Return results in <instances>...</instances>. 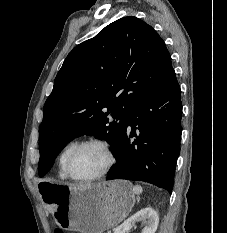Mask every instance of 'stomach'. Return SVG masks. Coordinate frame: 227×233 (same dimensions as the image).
I'll use <instances>...</instances> for the list:
<instances>
[{"label":"stomach","instance_id":"obj_1","mask_svg":"<svg viewBox=\"0 0 227 233\" xmlns=\"http://www.w3.org/2000/svg\"><path fill=\"white\" fill-rule=\"evenodd\" d=\"M39 189L41 200L55 222L80 233H103L117 226L135 204L131 184L122 180L85 187L44 181Z\"/></svg>","mask_w":227,"mask_h":233}]
</instances>
